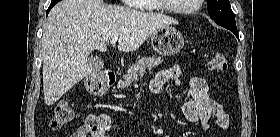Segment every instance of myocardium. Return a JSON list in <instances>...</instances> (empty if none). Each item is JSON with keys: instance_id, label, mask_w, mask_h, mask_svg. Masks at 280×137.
<instances>
[{"instance_id": "f54148a6", "label": "myocardium", "mask_w": 280, "mask_h": 137, "mask_svg": "<svg viewBox=\"0 0 280 137\" xmlns=\"http://www.w3.org/2000/svg\"><path fill=\"white\" fill-rule=\"evenodd\" d=\"M159 2H161V8L167 12L173 13V14H191L197 10H199L202 6V0H196L195 4L189 7H178V8H174L171 7L167 4H165L164 0H158Z\"/></svg>"}]
</instances>
